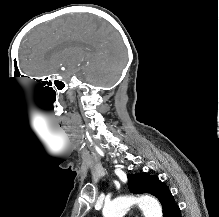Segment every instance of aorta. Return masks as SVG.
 Listing matches in <instances>:
<instances>
[{
  "instance_id": "1",
  "label": "aorta",
  "mask_w": 219,
  "mask_h": 217,
  "mask_svg": "<svg viewBox=\"0 0 219 217\" xmlns=\"http://www.w3.org/2000/svg\"><path fill=\"white\" fill-rule=\"evenodd\" d=\"M132 204H138L145 217H162V208L152 197L117 198L105 204L102 210L103 217H123Z\"/></svg>"
}]
</instances>
